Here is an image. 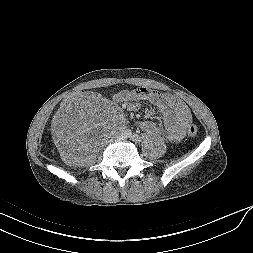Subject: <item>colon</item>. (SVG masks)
<instances>
[{
  "mask_svg": "<svg viewBox=\"0 0 253 253\" xmlns=\"http://www.w3.org/2000/svg\"><path fill=\"white\" fill-rule=\"evenodd\" d=\"M79 98H92L93 100H96L98 98V95L92 90L74 92L72 94H69L67 98L60 103V107L62 109H65L70 103H73ZM197 132L198 130L195 125H190L187 129V133L191 137L195 136Z\"/></svg>",
  "mask_w": 253,
  "mask_h": 253,
  "instance_id": "obj_1",
  "label": "colon"
}]
</instances>
